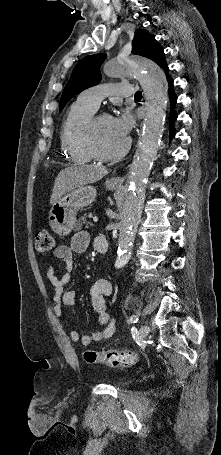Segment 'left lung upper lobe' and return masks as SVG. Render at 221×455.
<instances>
[{"label": "left lung upper lobe", "mask_w": 221, "mask_h": 455, "mask_svg": "<svg viewBox=\"0 0 221 455\" xmlns=\"http://www.w3.org/2000/svg\"><path fill=\"white\" fill-rule=\"evenodd\" d=\"M132 53L148 57L161 68L166 66L164 51L155 40V36L144 29H137L132 42ZM106 58L105 54H94L84 57L73 69L70 80L65 86L59 108L60 111L75 95L97 85L101 80L100 66Z\"/></svg>", "instance_id": "1"}]
</instances>
